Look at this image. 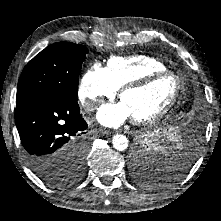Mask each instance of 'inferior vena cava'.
I'll use <instances>...</instances> for the list:
<instances>
[{"label":"inferior vena cava","mask_w":221,"mask_h":221,"mask_svg":"<svg viewBox=\"0 0 221 221\" xmlns=\"http://www.w3.org/2000/svg\"><path fill=\"white\" fill-rule=\"evenodd\" d=\"M99 105V102L95 101V100H88L85 104H84V109L86 111H94Z\"/></svg>","instance_id":"1"}]
</instances>
